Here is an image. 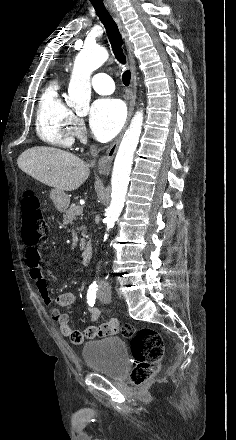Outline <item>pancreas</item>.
Wrapping results in <instances>:
<instances>
[{"label":"pancreas","mask_w":236,"mask_h":440,"mask_svg":"<svg viewBox=\"0 0 236 440\" xmlns=\"http://www.w3.org/2000/svg\"><path fill=\"white\" fill-rule=\"evenodd\" d=\"M79 207L80 206H78V205H71V207L67 211H65V213L63 215L64 223H66V224H72L73 223V220L76 219V216L81 214V213H77V209ZM81 235H82L83 238H81L80 249L83 250L84 247H85V235H86L85 231H83Z\"/></svg>","instance_id":"pancreas-1"}]
</instances>
